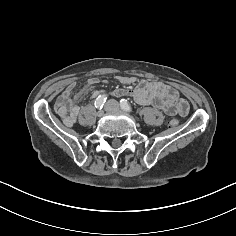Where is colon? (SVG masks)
I'll return each instance as SVG.
<instances>
[{
  "label": "colon",
  "mask_w": 236,
  "mask_h": 236,
  "mask_svg": "<svg viewBox=\"0 0 236 236\" xmlns=\"http://www.w3.org/2000/svg\"><path fill=\"white\" fill-rule=\"evenodd\" d=\"M170 124H171L172 126H174V125L177 124V121H176V120H172V121L170 122Z\"/></svg>",
  "instance_id": "colon-1"
}]
</instances>
